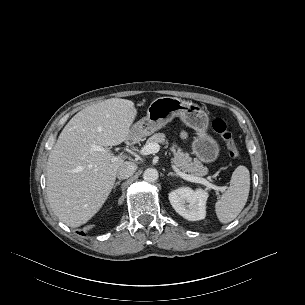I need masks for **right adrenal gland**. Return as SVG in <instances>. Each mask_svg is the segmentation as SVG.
<instances>
[{
  "label": "right adrenal gland",
  "instance_id": "2a0ac1e0",
  "mask_svg": "<svg viewBox=\"0 0 305 305\" xmlns=\"http://www.w3.org/2000/svg\"><path fill=\"white\" fill-rule=\"evenodd\" d=\"M120 183H121V180L115 182L114 185H113V190H115L116 186H119Z\"/></svg>",
  "mask_w": 305,
  "mask_h": 305
}]
</instances>
